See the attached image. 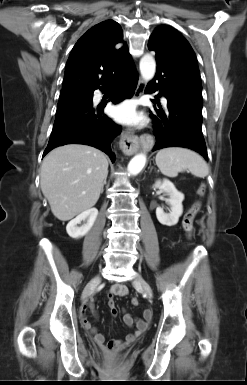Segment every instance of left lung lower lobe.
I'll return each instance as SVG.
<instances>
[{
  "label": "left lung lower lobe",
  "instance_id": "0a47b994",
  "mask_svg": "<svg viewBox=\"0 0 247 385\" xmlns=\"http://www.w3.org/2000/svg\"><path fill=\"white\" fill-rule=\"evenodd\" d=\"M156 62V75L146 87L145 93L151 94L160 90L158 96L166 97L167 107L165 110L156 107L150 110L156 137L154 150L173 146L185 147L199 152L208 160L201 130L202 91L157 54ZM152 102L155 103L154 100ZM156 103L159 104V101Z\"/></svg>",
  "mask_w": 247,
  "mask_h": 385
}]
</instances>
